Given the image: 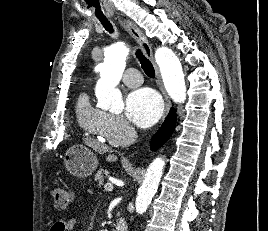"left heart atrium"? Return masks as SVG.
Wrapping results in <instances>:
<instances>
[{
  "instance_id": "1",
  "label": "left heart atrium",
  "mask_w": 268,
  "mask_h": 231,
  "mask_svg": "<svg viewBox=\"0 0 268 231\" xmlns=\"http://www.w3.org/2000/svg\"><path fill=\"white\" fill-rule=\"evenodd\" d=\"M163 105L157 92L140 88L130 92L126 98V116L137 126L150 127L161 117Z\"/></svg>"
}]
</instances>
